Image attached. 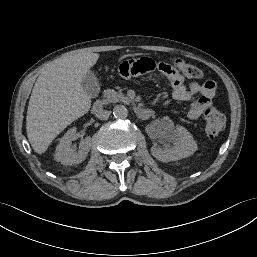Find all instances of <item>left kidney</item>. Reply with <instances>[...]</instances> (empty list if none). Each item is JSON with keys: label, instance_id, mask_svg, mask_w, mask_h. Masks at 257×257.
<instances>
[{"label": "left kidney", "instance_id": "left-kidney-1", "mask_svg": "<svg viewBox=\"0 0 257 257\" xmlns=\"http://www.w3.org/2000/svg\"><path fill=\"white\" fill-rule=\"evenodd\" d=\"M159 141L173 142V146H153L152 155L162 162L176 161L191 156L197 150V144L191 133L183 126H173L171 123L158 134Z\"/></svg>", "mask_w": 257, "mask_h": 257}]
</instances>
